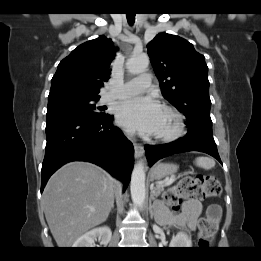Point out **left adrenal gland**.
<instances>
[{"label":"left adrenal gland","instance_id":"a2214340","mask_svg":"<svg viewBox=\"0 0 261 261\" xmlns=\"http://www.w3.org/2000/svg\"><path fill=\"white\" fill-rule=\"evenodd\" d=\"M154 199V196L151 194L150 195V213H151V216H153V210H152V206H151V200H153Z\"/></svg>","mask_w":261,"mask_h":261}]
</instances>
